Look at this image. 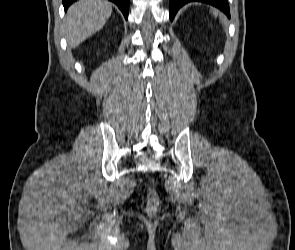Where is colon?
<instances>
[{
  "instance_id": "colon-1",
  "label": "colon",
  "mask_w": 295,
  "mask_h": 250,
  "mask_svg": "<svg viewBox=\"0 0 295 250\" xmlns=\"http://www.w3.org/2000/svg\"><path fill=\"white\" fill-rule=\"evenodd\" d=\"M159 205V198L155 191L150 190L147 194V211L149 214L156 212Z\"/></svg>"
}]
</instances>
